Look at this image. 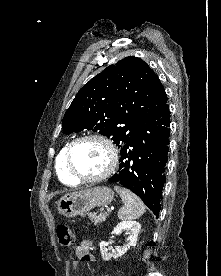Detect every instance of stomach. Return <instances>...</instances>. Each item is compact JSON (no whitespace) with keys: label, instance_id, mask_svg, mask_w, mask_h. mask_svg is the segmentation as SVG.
Returning <instances> with one entry per match:
<instances>
[{"label":"stomach","instance_id":"0dacf381","mask_svg":"<svg viewBox=\"0 0 221 276\" xmlns=\"http://www.w3.org/2000/svg\"><path fill=\"white\" fill-rule=\"evenodd\" d=\"M114 198L108 187H94L62 196L57 205L61 215L69 218L84 215L94 207L109 205Z\"/></svg>","mask_w":221,"mask_h":276}]
</instances>
